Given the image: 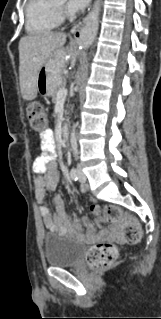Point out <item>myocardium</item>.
Returning a JSON list of instances; mask_svg holds the SVG:
<instances>
[{
	"mask_svg": "<svg viewBox=\"0 0 161 319\" xmlns=\"http://www.w3.org/2000/svg\"><path fill=\"white\" fill-rule=\"evenodd\" d=\"M58 8H59V10H61V9H62V7H61V6H58Z\"/></svg>",
	"mask_w": 161,
	"mask_h": 319,
	"instance_id": "f54148a6",
	"label": "myocardium"
}]
</instances>
